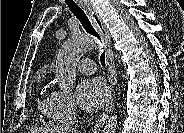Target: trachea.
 I'll return each mask as SVG.
<instances>
[{
    "mask_svg": "<svg viewBox=\"0 0 184 133\" xmlns=\"http://www.w3.org/2000/svg\"><path fill=\"white\" fill-rule=\"evenodd\" d=\"M65 2L70 11L79 19L86 32L100 39L84 10L74 0H65ZM100 62L102 66H105V52L101 54Z\"/></svg>",
    "mask_w": 184,
    "mask_h": 133,
    "instance_id": "trachea-1",
    "label": "trachea"
}]
</instances>
